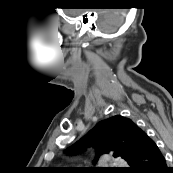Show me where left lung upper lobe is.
I'll list each match as a JSON object with an SVG mask.
<instances>
[{
	"label": "left lung upper lobe",
	"instance_id": "left-lung-upper-lobe-1",
	"mask_svg": "<svg viewBox=\"0 0 173 173\" xmlns=\"http://www.w3.org/2000/svg\"><path fill=\"white\" fill-rule=\"evenodd\" d=\"M143 130L131 119L116 115L100 121L83 138L67 149L69 153L82 151L86 146L93 145L96 148V163L104 153H112L114 157L124 158L127 163L142 145ZM113 172L104 168H87L80 173H107Z\"/></svg>",
	"mask_w": 173,
	"mask_h": 173
}]
</instances>
